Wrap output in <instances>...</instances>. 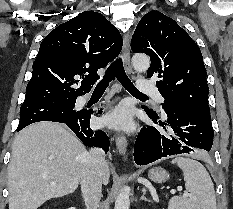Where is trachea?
<instances>
[{
	"mask_svg": "<svg viewBox=\"0 0 233 209\" xmlns=\"http://www.w3.org/2000/svg\"><path fill=\"white\" fill-rule=\"evenodd\" d=\"M115 77L122 84V86L131 94L148 97L147 95L138 91L131 82V80L128 78L127 74L125 73L121 58L115 60L108 67L103 79L100 82H98L97 86L95 87V90H105L108 87L109 82L114 80Z\"/></svg>",
	"mask_w": 233,
	"mask_h": 209,
	"instance_id": "3493384b",
	"label": "trachea"
}]
</instances>
